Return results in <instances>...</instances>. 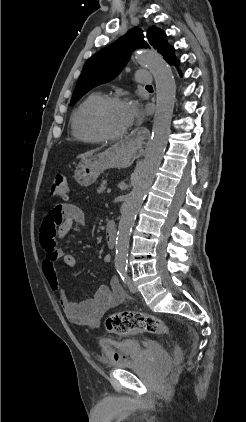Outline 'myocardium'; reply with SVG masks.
Segmentation results:
<instances>
[{"instance_id":"myocardium-1","label":"myocardium","mask_w":246,"mask_h":422,"mask_svg":"<svg viewBox=\"0 0 246 422\" xmlns=\"http://www.w3.org/2000/svg\"><path fill=\"white\" fill-rule=\"evenodd\" d=\"M112 104H123V100L117 96H103L98 100L90 109L89 121L94 131L103 139L109 141H115L122 139L128 134L129 129L119 132L112 133L108 131L102 121V113L106 107Z\"/></svg>"}]
</instances>
